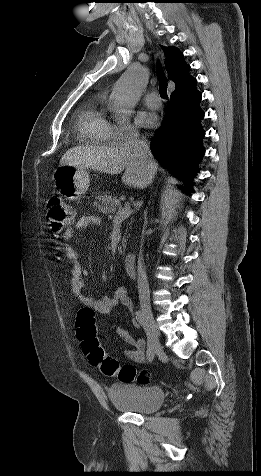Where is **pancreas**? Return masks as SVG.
<instances>
[{"label": "pancreas", "instance_id": "pancreas-1", "mask_svg": "<svg viewBox=\"0 0 261 476\" xmlns=\"http://www.w3.org/2000/svg\"><path fill=\"white\" fill-rule=\"evenodd\" d=\"M98 199L101 202V205L103 207V211L106 213H115L117 210L122 209V204L121 201L117 197H112L110 195L104 194L98 197ZM126 239L123 238L122 240V246H120L119 250L122 252V247L123 251H125L126 248Z\"/></svg>", "mask_w": 261, "mask_h": 476}]
</instances>
